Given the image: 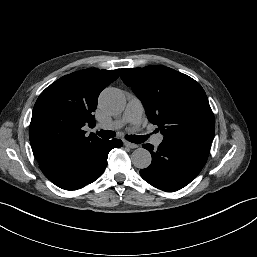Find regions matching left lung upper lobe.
<instances>
[{"label": "left lung upper lobe", "mask_w": 257, "mask_h": 257, "mask_svg": "<svg viewBox=\"0 0 257 257\" xmlns=\"http://www.w3.org/2000/svg\"><path fill=\"white\" fill-rule=\"evenodd\" d=\"M120 77L142 101L164 140H213L215 119L201 85L165 66L121 69Z\"/></svg>", "instance_id": "5c2ea615"}]
</instances>
